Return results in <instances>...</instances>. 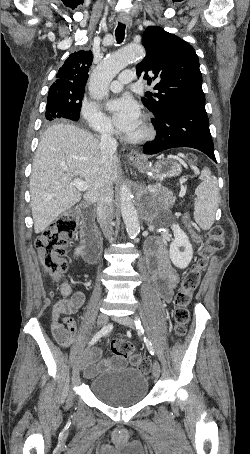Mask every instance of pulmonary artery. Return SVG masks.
<instances>
[{
    "mask_svg": "<svg viewBox=\"0 0 250 454\" xmlns=\"http://www.w3.org/2000/svg\"><path fill=\"white\" fill-rule=\"evenodd\" d=\"M135 79V71L132 69H127L123 71L117 80H114L110 83L109 89L113 92L120 91L125 84L130 83Z\"/></svg>",
    "mask_w": 250,
    "mask_h": 454,
    "instance_id": "1",
    "label": "pulmonary artery"
}]
</instances>
